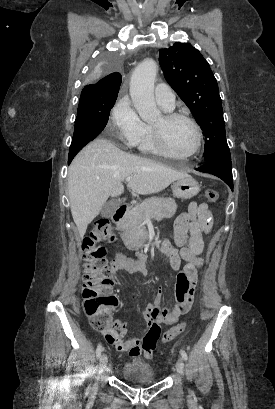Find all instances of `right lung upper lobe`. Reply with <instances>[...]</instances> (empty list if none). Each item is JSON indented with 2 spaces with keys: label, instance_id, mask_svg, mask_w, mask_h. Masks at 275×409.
I'll return each mask as SVG.
<instances>
[{
  "label": "right lung upper lobe",
  "instance_id": "1",
  "mask_svg": "<svg viewBox=\"0 0 275 409\" xmlns=\"http://www.w3.org/2000/svg\"><path fill=\"white\" fill-rule=\"evenodd\" d=\"M121 81L120 73H111L101 79L98 85L85 86L81 96L92 99H115L117 98Z\"/></svg>",
  "mask_w": 275,
  "mask_h": 409
}]
</instances>
